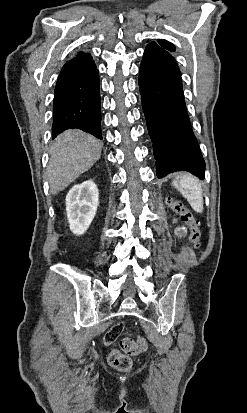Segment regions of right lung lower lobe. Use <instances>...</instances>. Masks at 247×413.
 I'll use <instances>...</instances> for the list:
<instances>
[{
	"label": "right lung lower lobe",
	"instance_id": "1",
	"mask_svg": "<svg viewBox=\"0 0 247 413\" xmlns=\"http://www.w3.org/2000/svg\"><path fill=\"white\" fill-rule=\"evenodd\" d=\"M71 128L102 139L99 73L93 59L65 64L57 80L52 139Z\"/></svg>",
	"mask_w": 247,
	"mask_h": 413
}]
</instances>
